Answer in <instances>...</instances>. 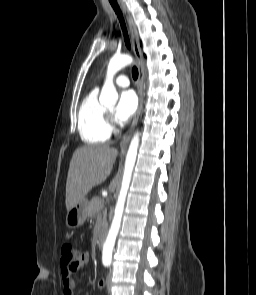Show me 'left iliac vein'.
I'll return each instance as SVG.
<instances>
[{"mask_svg": "<svg viewBox=\"0 0 256 295\" xmlns=\"http://www.w3.org/2000/svg\"><path fill=\"white\" fill-rule=\"evenodd\" d=\"M106 283H107V288L110 291V288L112 286V271L111 270L109 271V273L107 275Z\"/></svg>", "mask_w": 256, "mask_h": 295, "instance_id": "left-iliac-vein-1", "label": "left iliac vein"}]
</instances>
